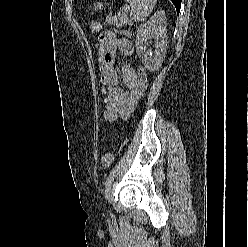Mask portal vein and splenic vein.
I'll list each match as a JSON object with an SVG mask.
<instances>
[{"label":"portal vein and splenic vein","mask_w":248,"mask_h":247,"mask_svg":"<svg viewBox=\"0 0 248 247\" xmlns=\"http://www.w3.org/2000/svg\"><path fill=\"white\" fill-rule=\"evenodd\" d=\"M127 9H125L124 14L126 13Z\"/></svg>","instance_id":"obj_1"}]
</instances>
